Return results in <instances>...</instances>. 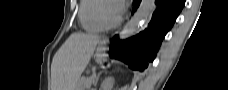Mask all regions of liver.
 Listing matches in <instances>:
<instances>
[{"label": "liver", "instance_id": "obj_1", "mask_svg": "<svg viewBox=\"0 0 228 90\" xmlns=\"http://www.w3.org/2000/svg\"><path fill=\"white\" fill-rule=\"evenodd\" d=\"M99 41L98 35L82 32L69 36L52 60V90H74Z\"/></svg>", "mask_w": 228, "mask_h": 90}]
</instances>
